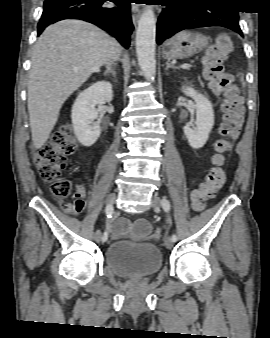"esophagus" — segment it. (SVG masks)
Returning <instances> with one entry per match:
<instances>
[{
	"instance_id": "esophagus-1",
	"label": "esophagus",
	"mask_w": 270,
	"mask_h": 338,
	"mask_svg": "<svg viewBox=\"0 0 270 338\" xmlns=\"http://www.w3.org/2000/svg\"><path fill=\"white\" fill-rule=\"evenodd\" d=\"M131 13L132 20L136 24L141 16V9L136 4H132Z\"/></svg>"
}]
</instances>
